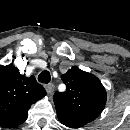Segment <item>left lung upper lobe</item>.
I'll list each match as a JSON object with an SVG mask.
<instances>
[{"label":"left lung upper lobe","instance_id":"5c2ea615","mask_svg":"<svg viewBox=\"0 0 130 130\" xmlns=\"http://www.w3.org/2000/svg\"><path fill=\"white\" fill-rule=\"evenodd\" d=\"M61 79L66 84V91L54 94L57 113L87 123L96 119L107 99L100 80L77 67L69 69Z\"/></svg>","mask_w":130,"mask_h":130}]
</instances>
